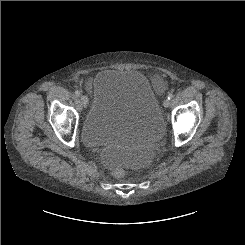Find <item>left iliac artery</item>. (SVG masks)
<instances>
[{
  "label": "left iliac artery",
  "instance_id": "left-iliac-artery-1",
  "mask_svg": "<svg viewBox=\"0 0 245 245\" xmlns=\"http://www.w3.org/2000/svg\"><path fill=\"white\" fill-rule=\"evenodd\" d=\"M168 100H171L173 98V94L172 93H169L168 96H167Z\"/></svg>",
  "mask_w": 245,
  "mask_h": 245
}]
</instances>
